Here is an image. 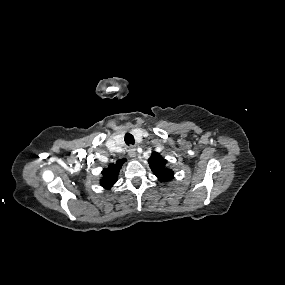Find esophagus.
Returning <instances> with one entry per match:
<instances>
[{
    "mask_svg": "<svg viewBox=\"0 0 285 285\" xmlns=\"http://www.w3.org/2000/svg\"><path fill=\"white\" fill-rule=\"evenodd\" d=\"M128 155L131 158H135L136 157V149L133 146L129 147Z\"/></svg>",
    "mask_w": 285,
    "mask_h": 285,
    "instance_id": "obj_1",
    "label": "esophagus"
}]
</instances>
